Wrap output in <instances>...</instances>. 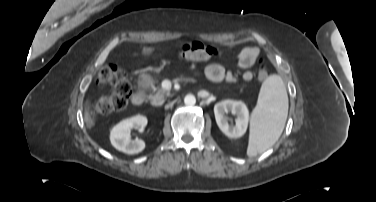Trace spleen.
Listing matches in <instances>:
<instances>
[{
  "label": "spleen",
  "mask_w": 376,
  "mask_h": 202,
  "mask_svg": "<svg viewBox=\"0 0 376 202\" xmlns=\"http://www.w3.org/2000/svg\"><path fill=\"white\" fill-rule=\"evenodd\" d=\"M288 115V96L279 75L269 76L262 84L251 116L247 155L254 157L271 147L281 136Z\"/></svg>",
  "instance_id": "1"
}]
</instances>
